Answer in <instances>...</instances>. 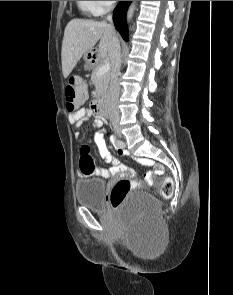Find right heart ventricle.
<instances>
[{
  "mask_svg": "<svg viewBox=\"0 0 233 295\" xmlns=\"http://www.w3.org/2000/svg\"><path fill=\"white\" fill-rule=\"evenodd\" d=\"M79 10L88 16H96L100 13L97 12L93 1H76Z\"/></svg>",
  "mask_w": 233,
  "mask_h": 295,
  "instance_id": "e07e8e85",
  "label": "right heart ventricle"
}]
</instances>
